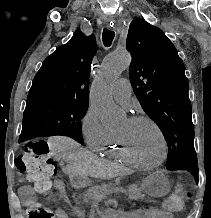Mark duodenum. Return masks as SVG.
Here are the masks:
<instances>
[{"mask_svg":"<svg viewBox=\"0 0 211 218\" xmlns=\"http://www.w3.org/2000/svg\"><path fill=\"white\" fill-rule=\"evenodd\" d=\"M82 182L81 174L74 172L70 175V183L73 187L80 186ZM98 215L101 218H138V210L102 209Z\"/></svg>","mask_w":211,"mask_h":218,"instance_id":"obj_1","label":"duodenum"}]
</instances>
